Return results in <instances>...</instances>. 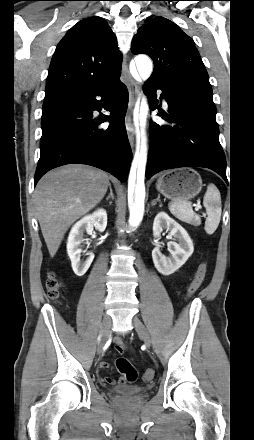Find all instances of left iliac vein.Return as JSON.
Instances as JSON below:
<instances>
[{"mask_svg": "<svg viewBox=\"0 0 254 440\" xmlns=\"http://www.w3.org/2000/svg\"><path fill=\"white\" fill-rule=\"evenodd\" d=\"M132 324H133L136 332L138 333V335L140 337H142V339L144 340V343L148 347H150L151 346L150 335H149V332H148L147 328L142 323V321L139 318H137V317H133L132 318Z\"/></svg>", "mask_w": 254, "mask_h": 440, "instance_id": "1", "label": "left iliac vein"}]
</instances>
